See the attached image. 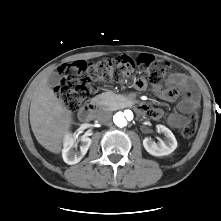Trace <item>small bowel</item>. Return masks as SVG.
I'll use <instances>...</instances> for the list:
<instances>
[{
    "instance_id": "small-bowel-1",
    "label": "small bowel",
    "mask_w": 221,
    "mask_h": 221,
    "mask_svg": "<svg viewBox=\"0 0 221 221\" xmlns=\"http://www.w3.org/2000/svg\"><path fill=\"white\" fill-rule=\"evenodd\" d=\"M142 84L141 80L137 81V85ZM142 87V86H141ZM155 94L166 101H175L181 95V99L177 102V113H172L168 116V124L174 128L179 129L184 127L187 122V115L194 109L198 108V98L191 90V83L189 78L182 73H175L168 82L165 88H154ZM191 94V96H188ZM143 110L151 117L159 118L162 116V111L149 106L143 107Z\"/></svg>"
}]
</instances>
